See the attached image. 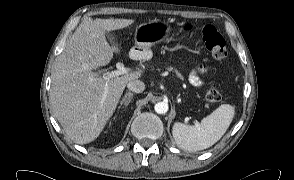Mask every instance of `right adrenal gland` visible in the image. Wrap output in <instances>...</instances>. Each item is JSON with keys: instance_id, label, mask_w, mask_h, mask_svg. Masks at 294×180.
Returning a JSON list of instances; mask_svg holds the SVG:
<instances>
[{"instance_id": "right-adrenal-gland-1", "label": "right adrenal gland", "mask_w": 294, "mask_h": 180, "mask_svg": "<svg viewBox=\"0 0 294 180\" xmlns=\"http://www.w3.org/2000/svg\"><path fill=\"white\" fill-rule=\"evenodd\" d=\"M132 98H133V93H131V92L126 93L125 96H124V97L121 99V101H120V106H119V108H120L122 105H124L125 107L128 106L129 103L131 102Z\"/></svg>"}]
</instances>
